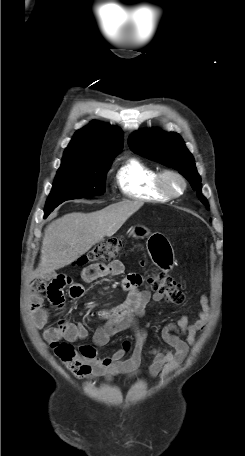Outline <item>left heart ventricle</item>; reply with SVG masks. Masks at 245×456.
<instances>
[{"label":"left heart ventricle","instance_id":"b2bd125f","mask_svg":"<svg viewBox=\"0 0 245 456\" xmlns=\"http://www.w3.org/2000/svg\"><path fill=\"white\" fill-rule=\"evenodd\" d=\"M169 187L174 191V192H179L181 189V183L178 179L174 177H169L167 179Z\"/></svg>","mask_w":245,"mask_h":456}]
</instances>
